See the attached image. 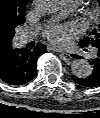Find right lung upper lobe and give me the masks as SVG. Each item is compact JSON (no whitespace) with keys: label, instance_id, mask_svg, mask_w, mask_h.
Masks as SVG:
<instances>
[{"label":"right lung upper lobe","instance_id":"cb5924a9","mask_svg":"<svg viewBox=\"0 0 100 118\" xmlns=\"http://www.w3.org/2000/svg\"><path fill=\"white\" fill-rule=\"evenodd\" d=\"M28 0H0V53L12 48L14 29L24 23Z\"/></svg>","mask_w":100,"mask_h":118}]
</instances>
